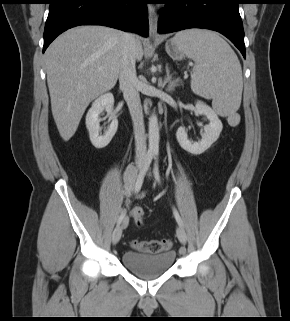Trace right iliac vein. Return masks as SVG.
<instances>
[{"mask_svg":"<svg viewBox=\"0 0 290 321\" xmlns=\"http://www.w3.org/2000/svg\"><path fill=\"white\" fill-rule=\"evenodd\" d=\"M142 164H143V161L142 160H138L137 163H136V166L137 168H141L142 167ZM128 223V220L127 218H125L122 223L120 225H118L114 231H113V235H112V242L113 244H117L122 236V231H123V228L127 225Z\"/></svg>","mask_w":290,"mask_h":321,"instance_id":"obj_1","label":"right iliac vein"}]
</instances>
